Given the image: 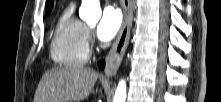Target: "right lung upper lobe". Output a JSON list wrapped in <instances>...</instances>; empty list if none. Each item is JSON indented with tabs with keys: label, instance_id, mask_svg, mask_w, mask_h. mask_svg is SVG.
I'll list each match as a JSON object with an SVG mask.
<instances>
[{
	"label": "right lung upper lobe",
	"instance_id": "cb5924a9",
	"mask_svg": "<svg viewBox=\"0 0 221 102\" xmlns=\"http://www.w3.org/2000/svg\"><path fill=\"white\" fill-rule=\"evenodd\" d=\"M53 6V0L46 1V12H50Z\"/></svg>",
	"mask_w": 221,
	"mask_h": 102
}]
</instances>
